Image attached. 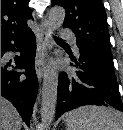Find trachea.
<instances>
[{
    "label": "trachea",
    "mask_w": 123,
    "mask_h": 130,
    "mask_svg": "<svg viewBox=\"0 0 123 130\" xmlns=\"http://www.w3.org/2000/svg\"><path fill=\"white\" fill-rule=\"evenodd\" d=\"M55 40L61 41V39H60V38H58V37H55Z\"/></svg>",
    "instance_id": "trachea-1"
}]
</instances>
